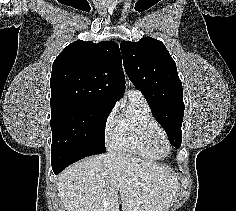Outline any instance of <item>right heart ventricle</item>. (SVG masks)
<instances>
[{"instance_id": "e07e8e85", "label": "right heart ventricle", "mask_w": 236, "mask_h": 211, "mask_svg": "<svg viewBox=\"0 0 236 211\" xmlns=\"http://www.w3.org/2000/svg\"><path fill=\"white\" fill-rule=\"evenodd\" d=\"M160 128L153 112L142 94L128 95L127 104L116 116L109 147L149 160H158L144 144L147 133Z\"/></svg>"}]
</instances>
